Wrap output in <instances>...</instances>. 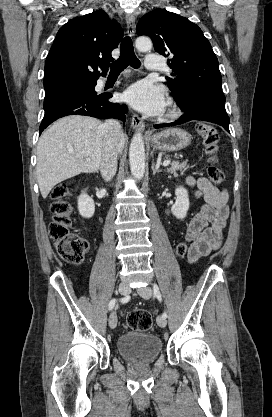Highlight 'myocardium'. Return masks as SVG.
Segmentation results:
<instances>
[{"label": "myocardium", "instance_id": "f54148a6", "mask_svg": "<svg viewBox=\"0 0 272 417\" xmlns=\"http://www.w3.org/2000/svg\"><path fill=\"white\" fill-rule=\"evenodd\" d=\"M180 115L179 110L177 109V107L174 104H170L168 110L165 113V118L166 119H175Z\"/></svg>", "mask_w": 272, "mask_h": 417}]
</instances>
